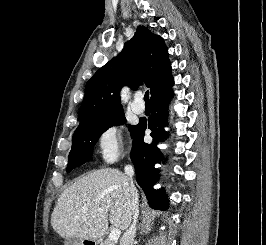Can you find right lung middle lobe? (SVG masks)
I'll list each match as a JSON object with an SVG mask.
<instances>
[{"label":"right lung middle lobe","instance_id":"1","mask_svg":"<svg viewBox=\"0 0 266 245\" xmlns=\"http://www.w3.org/2000/svg\"><path fill=\"white\" fill-rule=\"evenodd\" d=\"M125 122L123 111L81 121L73 135L67 172L91 159L93 148L103 132L112 126L122 125ZM129 127L130 131L133 132L135 126Z\"/></svg>","mask_w":266,"mask_h":245}]
</instances>
